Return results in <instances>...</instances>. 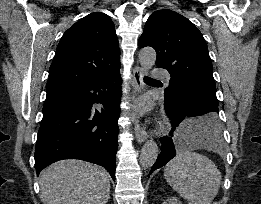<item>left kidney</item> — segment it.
I'll use <instances>...</instances> for the list:
<instances>
[{
	"mask_svg": "<svg viewBox=\"0 0 261 204\" xmlns=\"http://www.w3.org/2000/svg\"><path fill=\"white\" fill-rule=\"evenodd\" d=\"M162 204H182V203L175 197H170L166 199Z\"/></svg>",
	"mask_w": 261,
	"mask_h": 204,
	"instance_id": "obj_1",
	"label": "left kidney"
}]
</instances>
